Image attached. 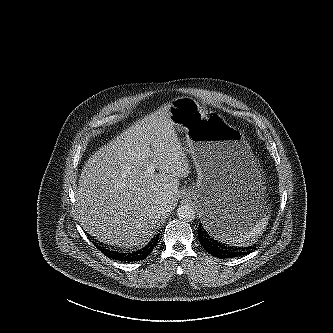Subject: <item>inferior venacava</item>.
Listing matches in <instances>:
<instances>
[{"label":"inferior vena cava","mask_w":333,"mask_h":333,"mask_svg":"<svg viewBox=\"0 0 333 333\" xmlns=\"http://www.w3.org/2000/svg\"><path fill=\"white\" fill-rule=\"evenodd\" d=\"M156 212L158 215L164 214L167 212V208H166V206H164V204H160L157 206Z\"/></svg>","instance_id":"obj_1"}]
</instances>
